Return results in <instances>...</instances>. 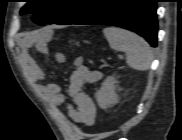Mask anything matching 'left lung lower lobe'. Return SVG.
Wrapping results in <instances>:
<instances>
[{
	"label": "left lung lower lobe",
	"instance_id": "1",
	"mask_svg": "<svg viewBox=\"0 0 182 140\" xmlns=\"http://www.w3.org/2000/svg\"><path fill=\"white\" fill-rule=\"evenodd\" d=\"M157 0H101L91 11L71 24L118 26L144 37L157 46Z\"/></svg>",
	"mask_w": 182,
	"mask_h": 140
}]
</instances>
